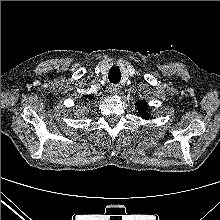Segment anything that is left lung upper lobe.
Listing matches in <instances>:
<instances>
[{
	"instance_id": "5c2ea615",
	"label": "left lung upper lobe",
	"mask_w": 220,
	"mask_h": 220,
	"mask_svg": "<svg viewBox=\"0 0 220 220\" xmlns=\"http://www.w3.org/2000/svg\"><path fill=\"white\" fill-rule=\"evenodd\" d=\"M137 107L139 108V115L141 116V118L149 119L150 115L147 103L144 101H140L138 102Z\"/></svg>"
}]
</instances>
